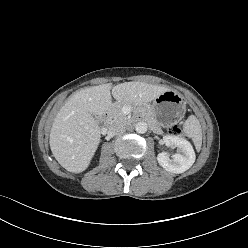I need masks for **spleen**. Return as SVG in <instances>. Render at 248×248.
<instances>
[{
  "label": "spleen",
  "mask_w": 248,
  "mask_h": 248,
  "mask_svg": "<svg viewBox=\"0 0 248 248\" xmlns=\"http://www.w3.org/2000/svg\"><path fill=\"white\" fill-rule=\"evenodd\" d=\"M184 133L193 140L197 148L202 144V130L199 120L191 115L187 118L183 126Z\"/></svg>",
  "instance_id": "obj_1"
}]
</instances>
